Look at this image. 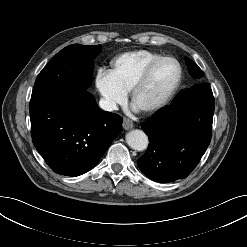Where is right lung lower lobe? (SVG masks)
<instances>
[{
    "instance_id": "obj_1",
    "label": "right lung lower lobe",
    "mask_w": 247,
    "mask_h": 247,
    "mask_svg": "<svg viewBox=\"0 0 247 247\" xmlns=\"http://www.w3.org/2000/svg\"><path fill=\"white\" fill-rule=\"evenodd\" d=\"M30 119L37 151L54 172L72 177L93 168L122 130V118L101 111L88 91L31 98Z\"/></svg>"
}]
</instances>
